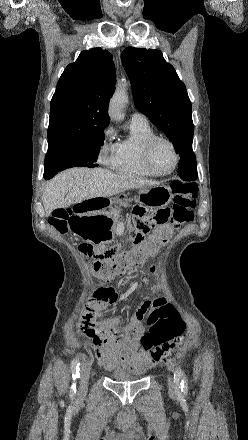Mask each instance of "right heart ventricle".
Here are the masks:
<instances>
[{
  "mask_svg": "<svg viewBox=\"0 0 248 440\" xmlns=\"http://www.w3.org/2000/svg\"><path fill=\"white\" fill-rule=\"evenodd\" d=\"M156 136L147 122L130 124L129 135L117 143L113 168L118 173L134 177H150L141 159L142 148L145 142Z\"/></svg>",
  "mask_w": 248,
  "mask_h": 440,
  "instance_id": "e07e8e85",
  "label": "right heart ventricle"
}]
</instances>
